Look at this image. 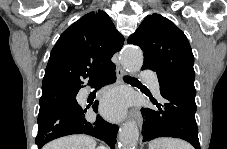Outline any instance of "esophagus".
<instances>
[{"label": "esophagus", "mask_w": 227, "mask_h": 149, "mask_svg": "<svg viewBox=\"0 0 227 149\" xmlns=\"http://www.w3.org/2000/svg\"><path fill=\"white\" fill-rule=\"evenodd\" d=\"M116 75H117V80L120 82L123 78V76L125 75V71L124 69L118 65L116 68ZM124 119H135L137 121V123L139 124V126H142L143 123V118L141 116V114L138 111H130V114H124L123 115Z\"/></svg>", "instance_id": "obj_1"}]
</instances>
